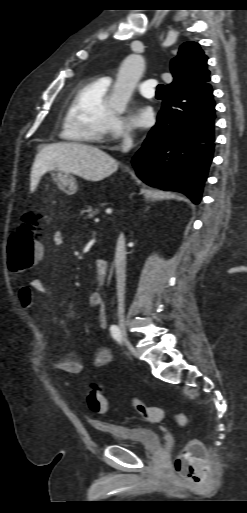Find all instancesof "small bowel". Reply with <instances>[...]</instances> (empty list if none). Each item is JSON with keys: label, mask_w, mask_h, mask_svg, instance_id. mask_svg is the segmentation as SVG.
<instances>
[{"label": "small bowel", "mask_w": 247, "mask_h": 513, "mask_svg": "<svg viewBox=\"0 0 247 513\" xmlns=\"http://www.w3.org/2000/svg\"><path fill=\"white\" fill-rule=\"evenodd\" d=\"M52 242L55 247H60L64 242V235L61 231H55L52 237ZM42 254V246H41ZM37 292L42 295H48L49 289L42 282L41 279L34 278L26 286H21L18 291L19 300L22 305L30 307L33 302V294ZM87 304L89 307L96 310V319L100 328L104 329L107 326V314L104 306V300L100 292L93 291L87 296ZM49 338L46 332L43 334V355L48 353ZM112 362V353L107 347H99L92 358V363L95 367L101 368L109 365ZM54 369L62 370L69 373H80L83 371L84 365L80 359L74 354L65 353L60 354L50 362Z\"/></svg>", "instance_id": "c3829d8e"}]
</instances>
